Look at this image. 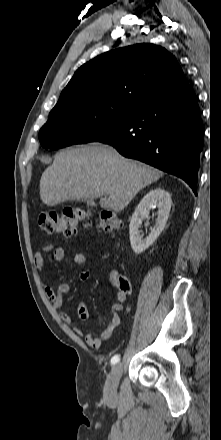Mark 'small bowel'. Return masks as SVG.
Segmentation results:
<instances>
[{
  "mask_svg": "<svg viewBox=\"0 0 221 440\" xmlns=\"http://www.w3.org/2000/svg\"><path fill=\"white\" fill-rule=\"evenodd\" d=\"M43 251L45 252H53V258L56 261H62L65 258V248L63 246L53 247L51 244H47L43 247ZM73 261L78 265H86L87 258L84 254L80 252H76L73 255ZM44 255L42 252L38 251L33 256L34 267L37 271H42L44 268ZM90 276L89 270H84L81 272L79 278L81 281H86ZM112 283L116 286L117 280L115 277H112ZM71 287L69 283L63 282L60 283L56 289L52 288L49 285L44 286V292L46 296L50 299L52 303V308L54 310H59L63 305L64 296L70 293ZM126 300V295L121 293L119 290L116 292V302H114L111 306V319L107 326L97 335L94 332H89L85 335V342L88 346L94 349H98L101 343L110 338L114 329L120 323L119 312L123 309V303ZM77 315L78 318L82 321H85L89 318V310L86 303L81 300L78 303L77 307ZM60 320L69 325L72 323V318L67 312L59 313ZM74 332L77 335H82L83 331L80 327L75 326L73 328Z\"/></svg>",
  "mask_w": 221,
  "mask_h": 440,
  "instance_id": "obj_1",
  "label": "small bowel"
}]
</instances>
